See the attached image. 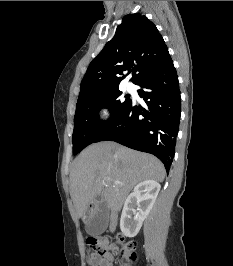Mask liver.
<instances>
[{"label":"liver","instance_id":"liver-1","mask_svg":"<svg viewBox=\"0 0 233 266\" xmlns=\"http://www.w3.org/2000/svg\"><path fill=\"white\" fill-rule=\"evenodd\" d=\"M165 168L159 159L104 141L84 149L75 159L70 173V195L76 215L85 223L89 204L99 195L108 209L119 211L133 187L145 180L162 182ZM109 178L111 181L106 182ZM114 181L121 182L114 185Z\"/></svg>","mask_w":233,"mask_h":266}]
</instances>
